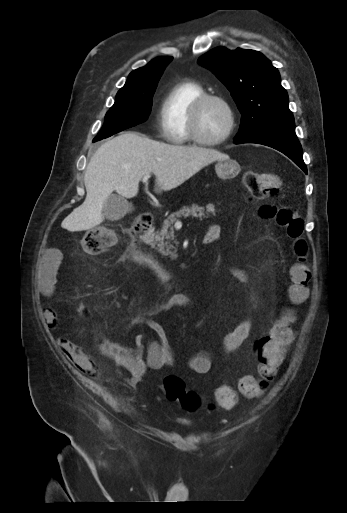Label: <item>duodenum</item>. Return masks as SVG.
I'll return each mask as SVG.
<instances>
[{
  "mask_svg": "<svg viewBox=\"0 0 347 513\" xmlns=\"http://www.w3.org/2000/svg\"><path fill=\"white\" fill-rule=\"evenodd\" d=\"M154 215L152 212H145L139 215L130 226L128 230L129 246L128 254L131 257H138L143 259L151 260L156 264L160 263L156 260L152 252L149 250L148 245L151 240L150 227L152 226ZM215 234H206L204 237V243L208 244L216 240ZM161 267V265H160ZM166 269L165 267H162Z\"/></svg>",
  "mask_w": 347,
  "mask_h": 513,
  "instance_id": "obj_1",
  "label": "duodenum"
}]
</instances>
